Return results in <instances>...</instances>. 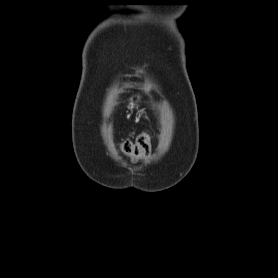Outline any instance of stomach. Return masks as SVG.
<instances>
[{"mask_svg": "<svg viewBox=\"0 0 278 278\" xmlns=\"http://www.w3.org/2000/svg\"><path fill=\"white\" fill-rule=\"evenodd\" d=\"M140 96L137 94L132 95L128 100V107L130 109H136L139 107Z\"/></svg>", "mask_w": 278, "mask_h": 278, "instance_id": "1", "label": "stomach"}]
</instances>
